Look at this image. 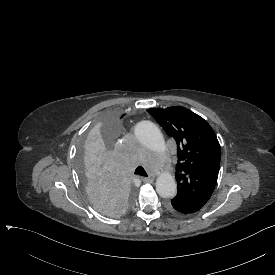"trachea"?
I'll return each mask as SVG.
<instances>
[{
    "label": "trachea",
    "mask_w": 275,
    "mask_h": 275,
    "mask_svg": "<svg viewBox=\"0 0 275 275\" xmlns=\"http://www.w3.org/2000/svg\"><path fill=\"white\" fill-rule=\"evenodd\" d=\"M135 174H136V175L145 176V177L148 176V174L146 173V171L144 170V168L141 167V166H139V167L136 168Z\"/></svg>",
    "instance_id": "3493384b"
}]
</instances>
